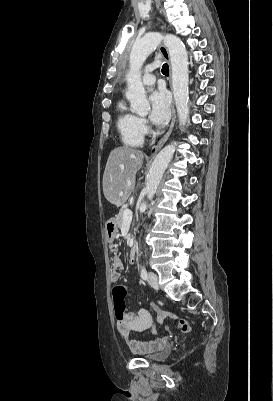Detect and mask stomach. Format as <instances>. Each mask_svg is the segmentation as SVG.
I'll list each match as a JSON object with an SVG mask.
<instances>
[{
    "instance_id": "stomach-1",
    "label": "stomach",
    "mask_w": 273,
    "mask_h": 401,
    "mask_svg": "<svg viewBox=\"0 0 273 401\" xmlns=\"http://www.w3.org/2000/svg\"><path fill=\"white\" fill-rule=\"evenodd\" d=\"M105 233L108 241H114L117 233L118 227L116 225L115 219H108L105 223Z\"/></svg>"
}]
</instances>
